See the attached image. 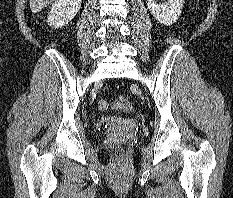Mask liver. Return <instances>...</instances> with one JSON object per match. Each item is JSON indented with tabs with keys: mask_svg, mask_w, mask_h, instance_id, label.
I'll return each instance as SVG.
<instances>
[{
	"mask_svg": "<svg viewBox=\"0 0 233 198\" xmlns=\"http://www.w3.org/2000/svg\"><path fill=\"white\" fill-rule=\"evenodd\" d=\"M54 0H29L32 13H37L46 8Z\"/></svg>",
	"mask_w": 233,
	"mask_h": 198,
	"instance_id": "obj_1",
	"label": "liver"
}]
</instances>
